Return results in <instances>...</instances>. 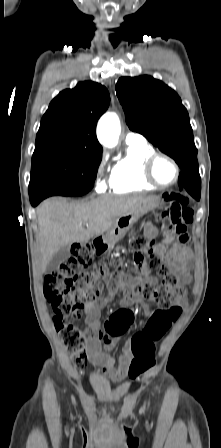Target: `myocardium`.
Segmentation results:
<instances>
[{"mask_svg": "<svg viewBox=\"0 0 221 448\" xmlns=\"http://www.w3.org/2000/svg\"><path fill=\"white\" fill-rule=\"evenodd\" d=\"M159 158L167 159L174 166V168L176 170V176H175L174 180L172 182L168 183V184H164V183L159 182L157 180V178L155 177L154 166H155L156 161ZM180 174H181V168H180L178 162L172 156H170V155H168L166 153L154 152L153 154H151L145 160V163H144V177H145V180L148 183L154 185L155 187H158V188H168V187H171V186L175 185L178 182L179 178H180Z\"/></svg>", "mask_w": 221, "mask_h": 448, "instance_id": "obj_1", "label": "myocardium"}]
</instances>
